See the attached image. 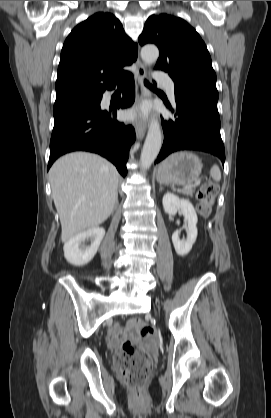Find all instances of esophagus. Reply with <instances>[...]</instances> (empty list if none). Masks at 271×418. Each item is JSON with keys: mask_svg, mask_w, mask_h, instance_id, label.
I'll use <instances>...</instances> for the list:
<instances>
[{"mask_svg": "<svg viewBox=\"0 0 271 418\" xmlns=\"http://www.w3.org/2000/svg\"><path fill=\"white\" fill-rule=\"evenodd\" d=\"M137 69L135 72V84H136V102L139 103L146 97V89L144 87V78L146 76V70L141 60L137 59ZM135 132L139 140L143 139L146 132V123L142 120H138L135 123Z\"/></svg>", "mask_w": 271, "mask_h": 418, "instance_id": "obj_1", "label": "esophagus"}]
</instances>
